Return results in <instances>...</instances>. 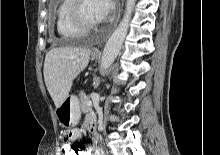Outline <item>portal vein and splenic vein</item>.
<instances>
[{
	"instance_id": "18ae733b",
	"label": "portal vein and splenic vein",
	"mask_w": 220,
	"mask_h": 155,
	"mask_svg": "<svg viewBox=\"0 0 220 155\" xmlns=\"http://www.w3.org/2000/svg\"><path fill=\"white\" fill-rule=\"evenodd\" d=\"M87 105H88V106H91V105H92V101L89 100V101L87 102Z\"/></svg>"
}]
</instances>
